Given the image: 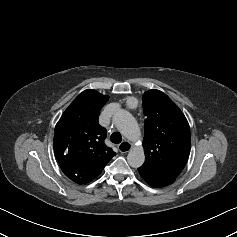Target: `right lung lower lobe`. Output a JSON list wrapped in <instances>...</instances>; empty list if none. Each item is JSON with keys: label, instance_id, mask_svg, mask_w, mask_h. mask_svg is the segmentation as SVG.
<instances>
[{"label": "right lung lower lobe", "instance_id": "98d812e1", "mask_svg": "<svg viewBox=\"0 0 237 237\" xmlns=\"http://www.w3.org/2000/svg\"><path fill=\"white\" fill-rule=\"evenodd\" d=\"M91 181V180H90ZM75 182H77V183H79V184H84V183H87V182H89V181H75Z\"/></svg>", "mask_w": 237, "mask_h": 237}]
</instances>
